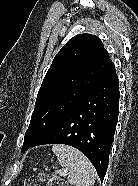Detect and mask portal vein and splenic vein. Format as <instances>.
<instances>
[{
	"label": "portal vein and splenic vein",
	"mask_w": 138,
	"mask_h": 186,
	"mask_svg": "<svg viewBox=\"0 0 138 186\" xmlns=\"http://www.w3.org/2000/svg\"><path fill=\"white\" fill-rule=\"evenodd\" d=\"M59 174H60V176H66L67 172L65 170H60Z\"/></svg>",
	"instance_id": "portal-vein-and-splenic-vein-1"
}]
</instances>
